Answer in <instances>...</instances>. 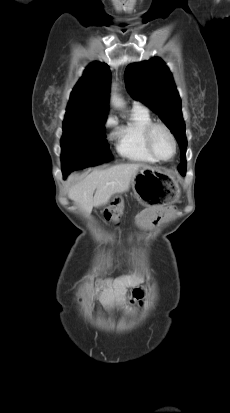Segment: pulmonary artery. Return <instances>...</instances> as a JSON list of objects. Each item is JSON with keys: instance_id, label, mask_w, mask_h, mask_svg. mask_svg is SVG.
<instances>
[{"instance_id": "1", "label": "pulmonary artery", "mask_w": 230, "mask_h": 413, "mask_svg": "<svg viewBox=\"0 0 230 413\" xmlns=\"http://www.w3.org/2000/svg\"><path fill=\"white\" fill-rule=\"evenodd\" d=\"M135 106H141L140 104H138V103H135Z\"/></svg>"}]
</instances>
